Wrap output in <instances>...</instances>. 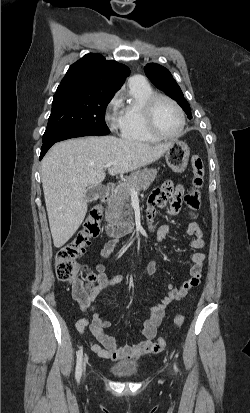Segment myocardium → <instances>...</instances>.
<instances>
[{"instance_id": "f54148a6", "label": "myocardium", "mask_w": 250, "mask_h": 413, "mask_svg": "<svg viewBox=\"0 0 250 413\" xmlns=\"http://www.w3.org/2000/svg\"><path fill=\"white\" fill-rule=\"evenodd\" d=\"M160 100H165L169 102L171 105L175 107V109L179 113L181 124H180L179 130L175 134L166 135V134L159 132L156 128L155 121H154V113H155L156 105ZM143 111H144V121H145L146 129L149 132V134L153 136L154 138H156L157 140H171V139L178 138L182 135L184 128L186 126V117H185V113L182 107L173 98L165 94L153 93L146 100Z\"/></svg>"}]
</instances>
